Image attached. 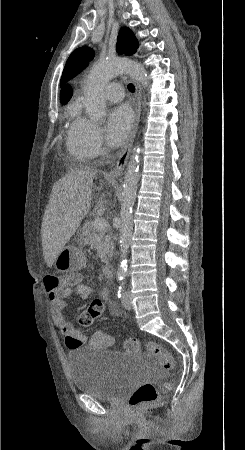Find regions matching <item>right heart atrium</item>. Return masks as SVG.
Returning a JSON list of instances; mask_svg holds the SVG:
<instances>
[{"instance_id": "right-heart-atrium-1", "label": "right heart atrium", "mask_w": 245, "mask_h": 450, "mask_svg": "<svg viewBox=\"0 0 245 450\" xmlns=\"http://www.w3.org/2000/svg\"><path fill=\"white\" fill-rule=\"evenodd\" d=\"M75 150L82 157L94 158L105 150L100 128L89 118L80 116L75 123Z\"/></svg>"}]
</instances>
